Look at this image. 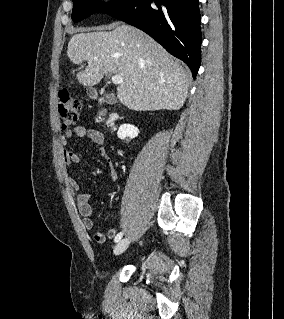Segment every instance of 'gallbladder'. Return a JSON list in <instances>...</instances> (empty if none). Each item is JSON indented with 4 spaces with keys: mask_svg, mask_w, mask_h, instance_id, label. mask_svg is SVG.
<instances>
[{
    "mask_svg": "<svg viewBox=\"0 0 284 319\" xmlns=\"http://www.w3.org/2000/svg\"><path fill=\"white\" fill-rule=\"evenodd\" d=\"M105 96V100L108 102V103H112L114 102L115 98L112 94H107V95H104Z\"/></svg>",
    "mask_w": 284,
    "mask_h": 319,
    "instance_id": "1",
    "label": "gallbladder"
}]
</instances>
